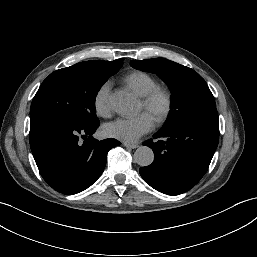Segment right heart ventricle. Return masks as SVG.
Segmentation results:
<instances>
[{
	"label": "right heart ventricle",
	"mask_w": 257,
	"mask_h": 257,
	"mask_svg": "<svg viewBox=\"0 0 257 257\" xmlns=\"http://www.w3.org/2000/svg\"><path fill=\"white\" fill-rule=\"evenodd\" d=\"M125 82L140 97L146 95L157 87L155 79L144 72H135L128 75L125 78Z\"/></svg>",
	"instance_id": "1"
}]
</instances>
